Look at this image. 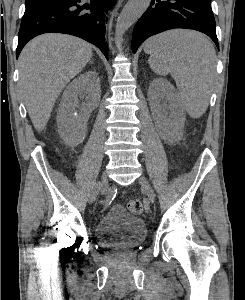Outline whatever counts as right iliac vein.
I'll return each mask as SVG.
<instances>
[{
	"label": "right iliac vein",
	"mask_w": 245,
	"mask_h": 300,
	"mask_svg": "<svg viewBox=\"0 0 245 300\" xmlns=\"http://www.w3.org/2000/svg\"><path fill=\"white\" fill-rule=\"evenodd\" d=\"M103 186H108V179L105 173H103L102 179L100 182H98L97 186H93L92 190L89 194V202L92 203L95 201L97 195L99 192H101Z\"/></svg>",
	"instance_id": "63e3f726"
}]
</instances>
